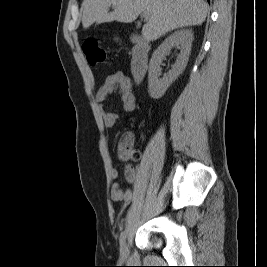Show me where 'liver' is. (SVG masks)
I'll list each match as a JSON object with an SVG mask.
<instances>
[{"instance_id":"obj_1","label":"liver","mask_w":267,"mask_h":267,"mask_svg":"<svg viewBox=\"0 0 267 267\" xmlns=\"http://www.w3.org/2000/svg\"><path fill=\"white\" fill-rule=\"evenodd\" d=\"M111 5L114 11L109 13ZM81 10L84 29L95 22L131 23L145 12L142 36L146 41H153L174 29L201 25L208 5L203 0H84Z\"/></svg>"}]
</instances>
